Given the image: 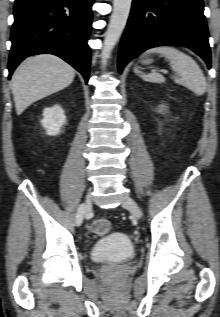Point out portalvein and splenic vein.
<instances>
[{
  "label": "portal vein and splenic vein",
  "mask_w": 220,
  "mask_h": 317,
  "mask_svg": "<svg viewBox=\"0 0 220 317\" xmlns=\"http://www.w3.org/2000/svg\"><path fill=\"white\" fill-rule=\"evenodd\" d=\"M162 72H163V73H167V71H166V70H162Z\"/></svg>",
  "instance_id": "18ae733b"
}]
</instances>
